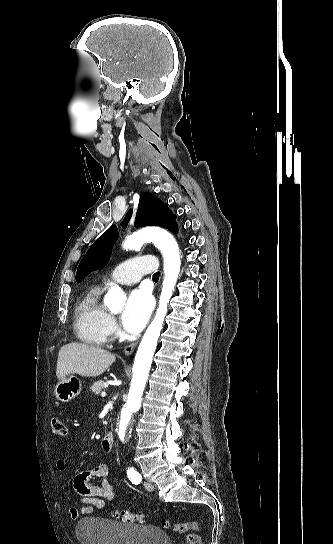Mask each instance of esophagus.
Returning a JSON list of instances; mask_svg holds the SVG:
<instances>
[{
    "instance_id": "obj_1",
    "label": "esophagus",
    "mask_w": 333,
    "mask_h": 544,
    "mask_svg": "<svg viewBox=\"0 0 333 544\" xmlns=\"http://www.w3.org/2000/svg\"><path fill=\"white\" fill-rule=\"evenodd\" d=\"M137 344H138V340L135 341V342H133V343H131V344H129V345H127V346L124 348V350H123V354H124L125 356H129V355L134 351V349H135V347L137 346Z\"/></svg>"
}]
</instances>
